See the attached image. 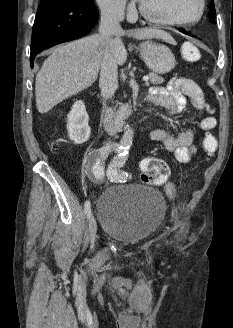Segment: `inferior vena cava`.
Wrapping results in <instances>:
<instances>
[{
    "label": "inferior vena cava",
    "instance_id": "602c4592",
    "mask_svg": "<svg viewBox=\"0 0 233 328\" xmlns=\"http://www.w3.org/2000/svg\"><path fill=\"white\" fill-rule=\"evenodd\" d=\"M124 8V4L121 2H111L101 9L99 34L102 40L106 42L107 47L102 57L99 86L103 97L106 99H111L118 87L117 62L109 45L111 44V36L122 30L120 21L124 17Z\"/></svg>",
    "mask_w": 233,
    "mask_h": 328
}]
</instances>
